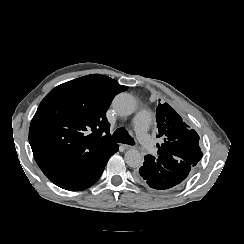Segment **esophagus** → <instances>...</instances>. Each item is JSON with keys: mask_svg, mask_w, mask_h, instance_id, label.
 <instances>
[{"mask_svg": "<svg viewBox=\"0 0 244 244\" xmlns=\"http://www.w3.org/2000/svg\"><path fill=\"white\" fill-rule=\"evenodd\" d=\"M122 147H123L124 150H129V149L132 148V146H130L128 144H123Z\"/></svg>", "mask_w": 244, "mask_h": 244, "instance_id": "1", "label": "esophagus"}]
</instances>
